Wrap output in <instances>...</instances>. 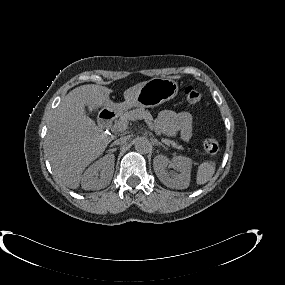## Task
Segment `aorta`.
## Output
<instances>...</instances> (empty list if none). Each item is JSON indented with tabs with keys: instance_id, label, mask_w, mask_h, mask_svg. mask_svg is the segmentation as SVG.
<instances>
[{
	"instance_id": "aorta-1",
	"label": "aorta",
	"mask_w": 285,
	"mask_h": 285,
	"mask_svg": "<svg viewBox=\"0 0 285 285\" xmlns=\"http://www.w3.org/2000/svg\"><path fill=\"white\" fill-rule=\"evenodd\" d=\"M136 151L140 153H148L151 150V142L146 137H137L134 143Z\"/></svg>"
}]
</instances>
